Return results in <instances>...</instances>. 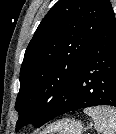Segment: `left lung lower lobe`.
<instances>
[{
    "label": "left lung lower lobe",
    "mask_w": 116,
    "mask_h": 134,
    "mask_svg": "<svg viewBox=\"0 0 116 134\" xmlns=\"http://www.w3.org/2000/svg\"><path fill=\"white\" fill-rule=\"evenodd\" d=\"M74 87L71 97L58 107L50 120L92 106L116 107V19L113 11L88 50Z\"/></svg>",
    "instance_id": "obj_1"
}]
</instances>
